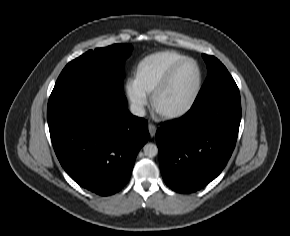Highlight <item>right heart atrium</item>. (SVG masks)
<instances>
[{
    "label": "right heart atrium",
    "instance_id": "d8ad5b80",
    "mask_svg": "<svg viewBox=\"0 0 290 236\" xmlns=\"http://www.w3.org/2000/svg\"><path fill=\"white\" fill-rule=\"evenodd\" d=\"M126 96L133 110L141 114L148 103V94L134 80H129L125 86Z\"/></svg>",
    "mask_w": 290,
    "mask_h": 236
}]
</instances>
